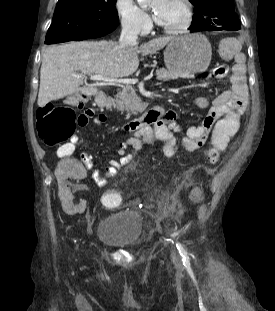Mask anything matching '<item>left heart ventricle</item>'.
Returning <instances> with one entry per match:
<instances>
[{
    "label": "left heart ventricle",
    "instance_id": "1",
    "mask_svg": "<svg viewBox=\"0 0 275 311\" xmlns=\"http://www.w3.org/2000/svg\"><path fill=\"white\" fill-rule=\"evenodd\" d=\"M151 11L158 17V22L166 27L180 26L186 18V10L180 0H155Z\"/></svg>",
    "mask_w": 275,
    "mask_h": 311
}]
</instances>
